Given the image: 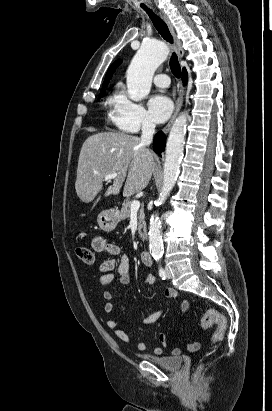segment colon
Listing matches in <instances>:
<instances>
[{
  "label": "colon",
  "instance_id": "5ec220e1",
  "mask_svg": "<svg viewBox=\"0 0 272 411\" xmlns=\"http://www.w3.org/2000/svg\"><path fill=\"white\" fill-rule=\"evenodd\" d=\"M76 255L81 262L87 265H92L95 261L94 253L88 247L78 246L76 248ZM213 325L216 326V330L212 335L211 343L215 344L223 339L227 328V320L219 312L209 310L201 319V327L203 329H208Z\"/></svg>",
  "mask_w": 272,
  "mask_h": 411
}]
</instances>
